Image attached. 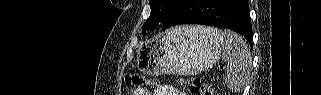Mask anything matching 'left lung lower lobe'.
Returning <instances> with one entry per match:
<instances>
[{
	"label": "left lung lower lobe",
	"instance_id": "left-lung-lower-lobe-1",
	"mask_svg": "<svg viewBox=\"0 0 321 95\" xmlns=\"http://www.w3.org/2000/svg\"><path fill=\"white\" fill-rule=\"evenodd\" d=\"M179 24H203L234 30L252 45L248 0H180L162 30Z\"/></svg>",
	"mask_w": 321,
	"mask_h": 95
}]
</instances>
